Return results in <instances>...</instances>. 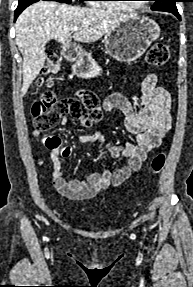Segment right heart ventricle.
<instances>
[{
	"instance_id": "1",
	"label": "right heart ventricle",
	"mask_w": 193,
	"mask_h": 287,
	"mask_svg": "<svg viewBox=\"0 0 193 287\" xmlns=\"http://www.w3.org/2000/svg\"><path fill=\"white\" fill-rule=\"evenodd\" d=\"M112 1H105L98 5L99 8L107 10H117V11H127L129 10L126 6L120 5L118 3H111Z\"/></svg>"
}]
</instances>
